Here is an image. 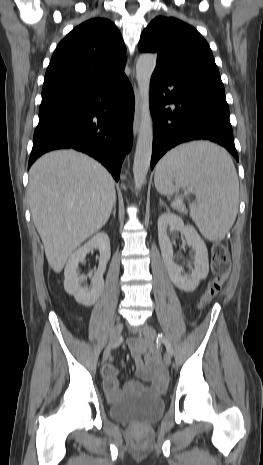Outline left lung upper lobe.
<instances>
[{"instance_id": "5c2ea615", "label": "left lung upper lobe", "mask_w": 263, "mask_h": 465, "mask_svg": "<svg viewBox=\"0 0 263 465\" xmlns=\"http://www.w3.org/2000/svg\"><path fill=\"white\" fill-rule=\"evenodd\" d=\"M141 52L158 53L155 70L204 79L224 89L211 49L201 34L173 17H156L142 32Z\"/></svg>"}]
</instances>
